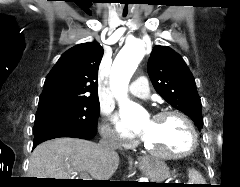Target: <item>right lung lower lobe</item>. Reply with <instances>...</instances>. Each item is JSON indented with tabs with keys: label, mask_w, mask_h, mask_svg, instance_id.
<instances>
[{
	"label": "right lung lower lobe",
	"mask_w": 240,
	"mask_h": 187,
	"mask_svg": "<svg viewBox=\"0 0 240 187\" xmlns=\"http://www.w3.org/2000/svg\"><path fill=\"white\" fill-rule=\"evenodd\" d=\"M97 131L89 134H83L79 132H74L62 128H51L47 129L43 132H40L38 134H35L34 141H33V148H35L38 144L50 140L53 138H59V137H73V138H80V139H92Z\"/></svg>",
	"instance_id": "1"
}]
</instances>
